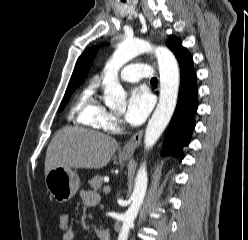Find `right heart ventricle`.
I'll use <instances>...</instances> for the list:
<instances>
[{
	"mask_svg": "<svg viewBox=\"0 0 248 240\" xmlns=\"http://www.w3.org/2000/svg\"><path fill=\"white\" fill-rule=\"evenodd\" d=\"M73 112L79 124L101 128L99 122L105 109L98 99L96 82H90L81 91L74 103Z\"/></svg>",
	"mask_w": 248,
	"mask_h": 240,
	"instance_id": "right-heart-ventricle-1",
	"label": "right heart ventricle"
}]
</instances>
